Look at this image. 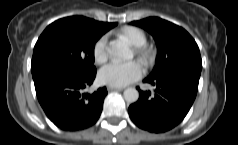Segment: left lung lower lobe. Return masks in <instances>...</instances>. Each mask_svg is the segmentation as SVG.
<instances>
[{
    "label": "left lung lower lobe",
    "instance_id": "1",
    "mask_svg": "<svg viewBox=\"0 0 238 145\" xmlns=\"http://www.w3.org/2000/svg\"><path fill=\"white\" fill-rule=\"evenodd\" d=\"M201 70H183L147 77L155 95L140 91L139 100L128 108L131 120L150 132H165L178 125L190 110L198 90Z\"/></svg>",
    "mask_w": 238,
    "mask_h": 145
}]
</instances>
